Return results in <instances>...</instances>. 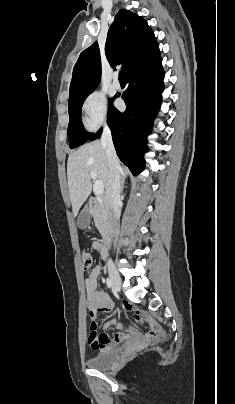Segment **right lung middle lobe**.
<instances>
[{"label": "right lung middle lobe", "mask_w": 235, "mask_h": 404, "mask_svg": "<svg viewBox=\"0 0 235 404\" xmlns=\"http://www.w3.org/2000/svg\"><path fill=\"white\" fill-rule=\"evenodd\" d=\"M86 97L87 96L69 102L68 137H69L70 148H75V147L85 143L87 140H89L92 137V135L86 133L83 130L82 123H81V107H82V104H83L84 100L86 99ZM111 101H110L109 107L112 106Z\"/></svg>", "instance_id": "dd1d6c3e"}]
</instances>
